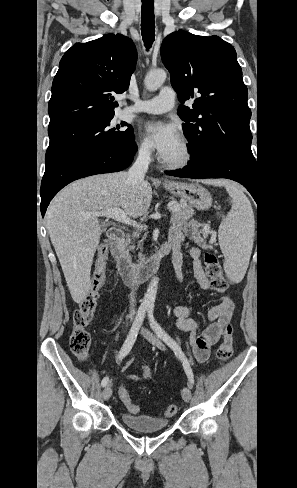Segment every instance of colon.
Wrapping results in <instances>:
<instances>
[{
    "instance_id": "obj_1",
    "label": "colon",
    "mask_w": 297,
    "mask_h": 488,
    "mask_svg": "<svg viewBox=\"0 0 297 488\" xmlns=\"http://www.w3.org/2000/svg\"><path fill=\"white\" fill-rule=\"evenodd\" d=\"M109 253L108 245L103 243L97 249L95 268L92 283L90 288L80 302L79 307L75 310L73 315V331L70 336V349L72 353L80 360L85 361L89 354L91 336L88 331L94 313L97 309L100 291L105 281V262ZM205 270L211 285L217 292H224L228 287V283L223 275V270L218 258L212 253H205L204 256ZM223 341L216 351V357L219 362L227 361L233 351L232 347V327L230 324H225L222 328ZM117 394L120 401L125 404L129 412L136 414L140 411L139 406L132 403L128 396V390L125 389V384H119ZM177 412V406L169 405L164 415L172 417Z\"/></svg>"
}]
</instances>
